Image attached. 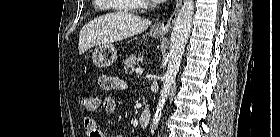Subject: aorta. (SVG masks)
Listing matches in <instances>:
<instances>
[{
	"instance_id": "aorta-1",
	"label": "aorta",
	"mask_w": 280,
	"mask_h": 137,
	"mask_svg": "<svg viewBox=\"0 0 280 137\" xmlns=\"http://www.w3.org/2000/svg\"><path fill=\"white\" fill-rule=\"evenodd\" d=\"M193 15V0H185L176 17L173 31L171 33L170 47L168 52V67L162 79L163 86L160 92V98L152 120V124L150 126L152 135L155 133V130L158 127L166 99L170 94L171 86L179 71L184 49L191 32Z\"/></svg>"
}]
</instances>
